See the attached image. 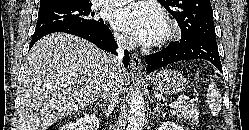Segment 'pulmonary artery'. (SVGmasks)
<instances>
[{
    "instance_id": "pulmonary-artery-1",
    "label": "pulmonary artery",
    "mask_w": 249,
    "mask_h": 130,
    "mask_svg": "<svg viewBox=\"0 0 249 130\" xmlns=\"http://www.w3.org/2000/svg\"><path fill=\"white\" fill-rule=\"evenodd\" d=\"M131 0H99L100 3L106 4V5H122L126 4L127 2H130Z\"/></svg>"
}]
</instances>
